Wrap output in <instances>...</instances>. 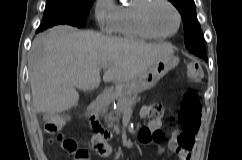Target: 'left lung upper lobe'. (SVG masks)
<instances>
[{
	"mask_svg": "<svg viewBox=\"0 0 242 160\" xmlns=\"http://www.w3.org/2000/svg\"><path fill=\"white\" fill-rule=\"evenodd\" d=\"M180 12L184 23L186 48L193 54L207 59L206 49L201 37V28L196 16L194 0H169Z\"/></svg>",
	"mask_w": 242,
	"mask_h": 160,
	"instance_id": "obj_1",
	"label": "left lung upper lobe"
}]
</instances>
